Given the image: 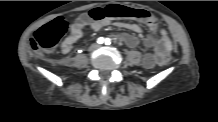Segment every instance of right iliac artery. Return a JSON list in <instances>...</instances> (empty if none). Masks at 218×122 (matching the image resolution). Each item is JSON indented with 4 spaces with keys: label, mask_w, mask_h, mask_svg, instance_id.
Instances as JSON below:
<instances>
[{
    "label": "right iliac artery",
    "mask_w": 218,
    "mask_h": 122,
    "mask_svg": "<svg viewBox=\"0 0 218 122\" xmlns=\"http://www.w3.org/2000/svg\"><path fill=\"white\" fill-rule=\"evenodd\" d=\"M104 42H105V39L103 37H100V38L97 39L98 44H102Z\"/></svg>",
    "instance_id": "right-iliac-artery-1"
}]
</instances>
